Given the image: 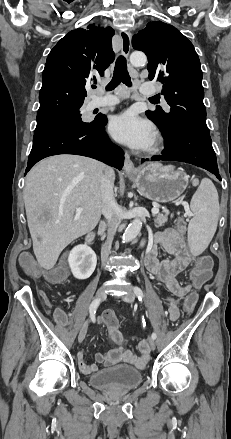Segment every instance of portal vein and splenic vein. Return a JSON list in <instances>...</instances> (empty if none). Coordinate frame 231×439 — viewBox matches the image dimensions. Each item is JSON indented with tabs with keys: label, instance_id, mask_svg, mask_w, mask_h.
<instances>
[{
	"label": "portal vein and splenic vein",
	"instance_id": "portal-vein-and-splenic-vein-1",
	"mask_svg": "<svg viewBox=\"0 0 231 439\" xmlns=\"http://www.w3.org/2000/svg\"><path fill=\"white\" fill-rule=\"evenodd\" d=\"M83 212V208L82 207H78L76 209V214H81ZM152 214H158L159 213V209L157 207L152 208L151 210Z\"/></svg>",
	"mask_w": 231,
	"mask_h": 439
}]
</instances>
